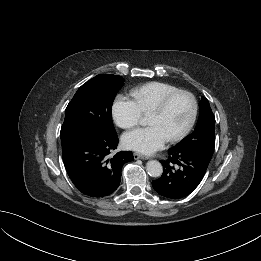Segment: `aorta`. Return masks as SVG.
<instances>
[{"label": "aorta", "instance_id": "aorta-1", "mask_svg": "<svg viewBox=\"0 0 261 261\" xmlns=\"http://www.w3.org/2000/svg\"><path fill=\"white\" fill-rule=\"evenodd\" d=\"M147 173L151 177H160L163 173V167L160 162L156 160L148 161L146 164Z\"/></svg>", "mask_w": 261, "mask_h": 261}]
</instances>
